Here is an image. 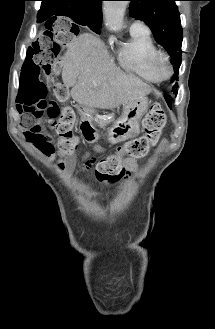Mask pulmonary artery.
Here are the masks:
<instances>
[{"label":"pulmonary artery","instance_id":"pulmonary-artery-1","mask_svg":"<svg viewBox=\"0 0 215 329\" xmlns=\"http://www.w3.org/2000/svg\"><path fill=\"white\" fill-rule=\"evenodd\" d=\"M130 31L131 32H136V31H149L148 27L140 20H134L130 26Z\"/></svg>","mask_w":215,"mask_h":329}]
</instances>
